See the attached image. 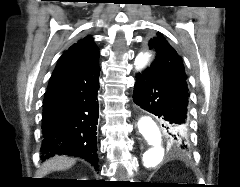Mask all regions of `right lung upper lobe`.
<instances>
[{
  "instance_id": "cb5924a9",
  "label": "right lung upper lobe",
  "mask_w": 240,
  "mask_h": 187,
  "mask_svg": "<svg viewBox=\"0 0 240 187\" xmlns=\"http://www.w3.org/2000/svg\"><path fill=\"white\" fill-rule=\"evenodd\" d=\"M99 51L91 36H86L73 44L60 57L50 78L48 89L74 77L85 76L99 68Z\"/></svg>"
}]
</instances>
